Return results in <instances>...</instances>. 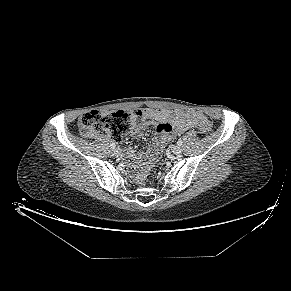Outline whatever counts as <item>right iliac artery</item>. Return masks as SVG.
<instances>
[{"label": "right iliac artery", "mask_w": 291, "mask_h": 291, "mask_svg": "<svg viewBox=\"0 0 291 291\" xmlns=\"http://www.w3.org/2000/svg\"><path fill=\"white\" fill-rule=\"evenodd\" d=\"M115 146H116L115 143H111V144H110V147H111L112 149H114Z\"/></svg>", "instance_id": "obj_1"}]
</instances>
